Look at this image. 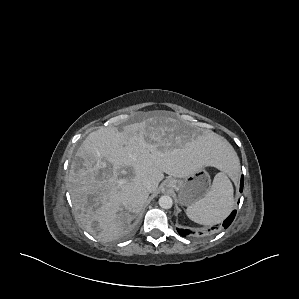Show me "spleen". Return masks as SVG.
I'll use <instances>...</instances> for the list:
<instances>
[{
  "label": "spleen",
  "mask_w": 299,
  "mask_h": 299,
  "mask_svg": "<svg viewBox=\"0 0 299 299\" xmlns=\"http://www.w3.org/2000/svg\"><path fill=\"white\" fill-rule=\"evenodd\" d=\"M234 204L233 186L225 172L218 173L204 198L186 209L188 218L202 225L222 222L231 212Z\"/></svg>",
  "instance_id": "1"
}]
</instances>
